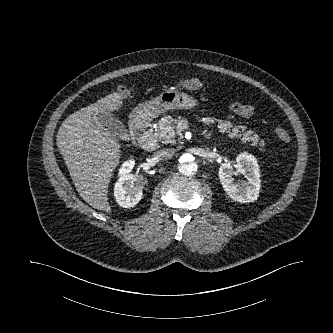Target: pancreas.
Returning a JSON list of instances; mask_svg holds the SVG:
<instances>
[{"label":"pancreas","mask_w":333,"mask_h":333,"mask_svg":"<svg viewBox=\"0 0 333 333\" xmlns=\"http://www.w3.org/2000/svg\"><path fill=\"white\" fill-rule=\"evenodd\" d=\"M204 121V120H202ZM178 120L173 119L171 116L162 117L156 128L157 136L164 140L166 143H174L175 137L178 135L182 138L183 129L177 125ZM214 122L213 119H205V123L208 125ZM220 132L228 133L230 138H241L242 143L251 142V146L256 147L259 144V137L251 130L246 131L245 126L233 125L230 121H220L218 124Z\"/></svg>","instance_id":"obj_1"}]
</instances>
